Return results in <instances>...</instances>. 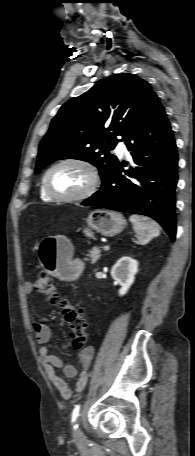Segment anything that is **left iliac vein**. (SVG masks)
<instances>
[{
  "label": "left iliac vein",
  "mask_w": 195,
  "mask_h": 456,
  "mask_svg": "<svg viewBox=\"0 0 195 456\" xmlns=\"http://www.w3.org/2000/svg\"><path fill=\"white\" fill-rule=\"evenodd\" d=\"M76 425H77V428L74 431V436H75L76 440L80 441L83 439V432H82L81 428L79 427L78 421L76 422Z\"/></svg>",
  "instance_id": "4c4485c4"
}]
</instances>
